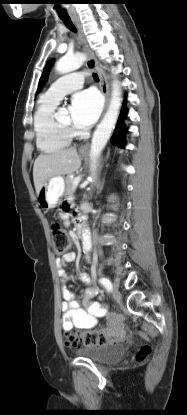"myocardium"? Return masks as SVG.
<instances>
[{
  "mask_svg": "<svg viewBox=\"0 0 187 415\" xmlns=\"http://www.w3.org/2000/svg\"><path fill=\"white\" fill-rule=\"evenodd\" d=\"M56 123L68 135L71 136L75 133V130L71 125L62 124L59 120H56Z\"/></svg>",
  "mask_w": 187,
  "mask_h": 415,
  "instance_id": "myocardium-1",
  "label": "myocardium"
}]
</instances>
